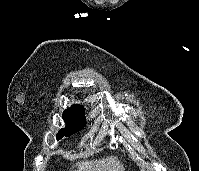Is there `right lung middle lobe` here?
Returning a JSON list of instances; mask_svg holds the SVG:
<instances>
[{
  "label": "right lung middle lobe",
  "mask_w": 199,
  "mask_h": 171,
  "mask_svg": "<svg viewBox=\"0 0 199 171\" xmlns=\"http://www.w3.org/2000/svg\"><path fill=\"white\" fill-rule=\"evenodd\" d=\"M62 118L66 123V126L65 128L60 129L57 133V140L78 132L86 124L83 106H71L70 108H67L63 112Z\"/></svg>",
  "instance_id": "obj_1"
}]
</instances>
